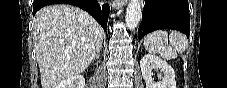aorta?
Wrapping results in <instances>:
<instances>
[{"mask_svg": "<svg viewBox=\"0 0 227 88\" xmlns=\"http://www.w3.org/2000/svg\"><path fill=\"white\" fill-rule=\"evenodd\" d=\"M141 5L139 0H130L128 7H127V12H126V26L130 29L133 30L135 29L141 19Z\"/></svg>", "mask_w": 227, "mask_h": 88, "instance_id": "1", "label": "aorta"}]
</instances>
